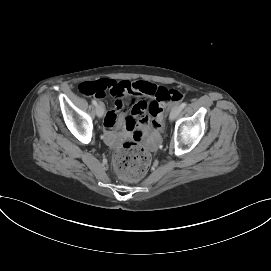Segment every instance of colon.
Masks as SVG:
<instances>
[{"mask_svg":"<svg viewBox=\"0 0 271 271\" xmlns=\"http://www.w3.org/2000/svg\"><path fill=\"white\" fill-rule=\"evenodd\" d=\"M79 90L86 96L101 97L108 90L105 80L83 82ZM182 94L174 89H161L157 93L159 100L177 103L182 100ZM151 162L150 153L133 142H126L114 157V170L119 177L127 181H137L147 172Z\"/></svg>","mask_w":271,"mask_h":271,"instance_id":"5ec220e1","label":"colon"}]
</instances>
